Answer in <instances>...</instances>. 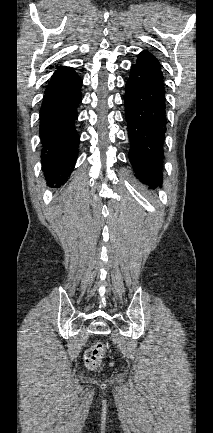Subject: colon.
<instances>
[{"mask_svg": "<svg viewBox=\"0 0 213 433\" xmlns=\"http://www.w3.org/2000/svg\"><path fill=\"white\" fill-rule=\"evenodd\" d=\"M106 352V345L103 341H95L85 352L84 364L89 369H96L100 366Z\"/></svg>", "mask_w": 213, "mask_h": 433, "instance_id": "1", "label": "colon"}]
</instances>
